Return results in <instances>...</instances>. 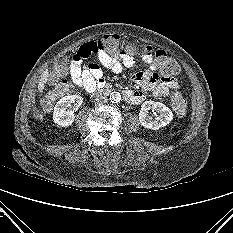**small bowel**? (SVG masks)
<instances>
[{
  "label": "small bowel",
  "mask_w": 233,
  "mask_h": 233,
  "mask_svg": "<svg viewBox=\"0 0 233 233\" xmlns=\"http://www.w3.org/2000/svg\"><path fill=\"white\" fill-rule=\"evenodd\" d=\"M87 44L82 45L74 53L69 73L77 87L88 93H93L96 89L105 86L106 82L103 78V72L97 64L85 63L86 57L83 55V48ZM135 45L132 52L125 49L113 53L98 50L96 55L101 65L114 73H121L125 68L135 66L136 58L142 60L146 64V68L134 73L132 79L142 88L151 90L153 96L157 98L167 97L170 90L178 87L177 81L173 77L160 75L153 55L143 50L141 44L135 42ZM145 98L146 95L143 91L128 90L125 93V99L130 104H140Z\"/></svg>",
  "instance_id": "obj_1"
}]
</instances>
